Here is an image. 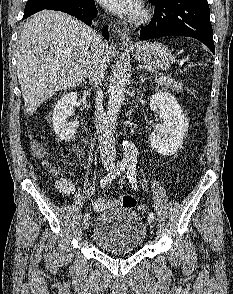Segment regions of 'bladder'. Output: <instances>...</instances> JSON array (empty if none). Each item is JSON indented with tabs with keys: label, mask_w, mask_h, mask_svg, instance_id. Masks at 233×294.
Returning a JSON list of instances; mask_svg holds the SVG:
<instances>
[{
	"label": "bladder",
	"mask_w": 233,
	"mask_h": 294,
	"mask_svg": "<svg viewBox=\"0 0 233 294\" xmlns=\"http://www.w3.org/2000/svg\"><path fill=\"white\" fill-rule=\"evenodd\" d=\"M92 238L104 252L115 255L133 253L144 244L146 228L132 208L112 207L97 219Z\"/></svg>",
	"instance_id": "obj_1"
}]
</instances>
